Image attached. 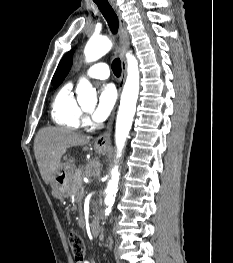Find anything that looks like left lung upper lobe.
I'll list each match as a JSON object with an SVG mask.
<instances>
[{
  "instance_id": "left-lung-upper-lobe-1",
  "label": "left lung upper lobe",
  "mask_w": 233,
  "mask_h": 263,
  "mask_svg": "<svg viewBox=\"0 0 233 263\" xmlns=\"http://www.w3.org/2000/svg\"><path fill=\"white\" fill-rule=\"evenodd\" d=\"M71 55H72V52L67 53L66 56L60 61L59 65H58V68H57V70H56L55 75L57 74V72L59 71V69L63 66V64L66 62V60H67ZM55 75H54V77H55ZM54 77H53V79H54Z\"/></svg>"
}]
</instances>
